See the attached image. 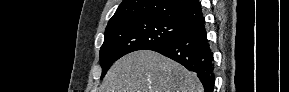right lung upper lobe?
I'll list each match as a JSON object with an SVG mask.
<instances>
[{
  "label": "right lung upper lobe",
  "mask_w": 289,
  "mask_h": 92,
  "mask_svg": "<svg viewBox=\"0 0 289 92\" xmlns=\"http://www.w3.org/2000/svg\"><path fill=\"white\" fill-rule=\"evenodd\" d=\"M200 16L198 0H123L108 25L130 18H158L188 25Z\"/></svg>",
  "instance_id": "1"
}]
</instances>
